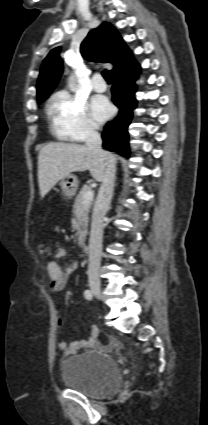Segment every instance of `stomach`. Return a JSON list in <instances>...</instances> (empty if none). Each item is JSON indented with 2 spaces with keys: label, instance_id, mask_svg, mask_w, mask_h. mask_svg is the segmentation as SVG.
Masks as SVG:
<instances>
[{
  "label": "stomach",
  "instance_id": "obj_1",
  "mask_svg": "<svg viewBox=\"0 0 208 425\" xmlns=\"http://www.w3.org/2000/svg\"><path fill=\"white\" fill-rule=\"evenodd\" d=\"M78 179L75 175L69 174L61 179L60 186L64 196L71 198L77 190Z\"/></svg>",
  "mask_w": 208,
  "mask_h": 425
}]
</instances>
